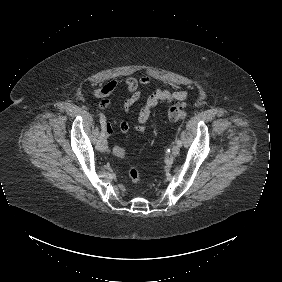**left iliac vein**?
I'll return each instance as SVG.
<instances>
[{"mask_svg":"<svg viewBox=\"0 0 282 282\" xmlns=\"http://www.w3.org/2000/svg\"><path fill=\"white\" fill-rule=\"evenodd\" d=\"M180 152V147L178 145H174L172 148V156L176 157Z\"/></svg>","mask_w":282,"mask_h":282,"instance_id":"4c4485c4","label":"left iliac vein"}]
</instances>
